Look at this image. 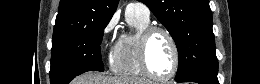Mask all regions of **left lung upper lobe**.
I'll return each mask as SVG.
<instances>
[{
  "instance_id": "1",
  "label": "left lung upper lobe",
  "mask_w": 260,
  "mask_h": 84,
  "mask_svg": "<svg viewBox=\"0 0 260 84\" xmlns=\"http://www.w3.org/2000/svg\"><path fill=\"white\" fill-rule=\"evenodd\" d=\"M140 1L167 28L176 43L179 54L176 81L218 72L209 0Z\"/></svg>"
}]
</instances>
